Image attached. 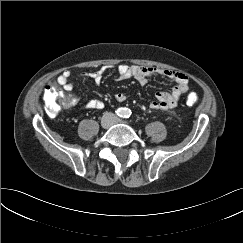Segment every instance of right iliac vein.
I'll return each mask as SVG.
<instances>
[{"label": "right iliac vein", "mask_w": 243, "mask_h": 243, "mask_svg": "<svg viewBox=\"0 0 243 243\" xmlns=\"http://www.w3.org/2000/svg\"><path fill=\"white\" fill-rule=\"evenodd\" d=\"M112 124L111 118L109 116H106L101 121V126L103 128H109Z\"/></svg>", "instance_id": "right-iliac-vein-1"}]
</instances>
